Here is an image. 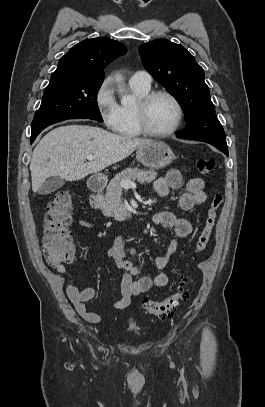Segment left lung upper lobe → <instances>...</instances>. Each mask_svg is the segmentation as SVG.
Returning <instances> with one entry per match:
<instances>
[{
	"instance_id": "1",
	"label": "left lung upper lobe",
	"mask_w": 265,
	"mask_h": 407,
	"mask_svg": "<svg viewBox=\"0 0 265 407\" xmlns=\"http://www.w3.org/2000/svg\"><path fill=\"white\" fill-rule=\"evenodd\" d=\"M145 69L175 97L187 122L177 137L194 139L228 152L222 125L204 81L203 68L182 46L169 40H156L139 47Z\"/></svg>"
}]
</instances>
